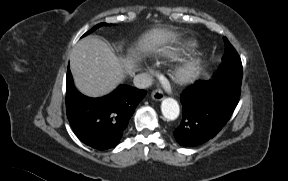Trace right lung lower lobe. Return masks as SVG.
Instances as JSON below:
<instances>
[{"instance_id": "right-lung-lower-lobe-1", "label": "right lung lower lobe", "mask_w": 288, "mask_h": 181, "mask_svg": "<svg viewBox=\"0 0 288 181\" xmlns=\"http://www.w3.org/2000/svg\"><path fill=\"white\" fill-rule=\"evenodd\" d=\"M146 91L121 85L101 98L81 94L67 71L66 109L76 136L86 145L106 150L120 142L136 106Z\"/></svg>"}]
</instances>
